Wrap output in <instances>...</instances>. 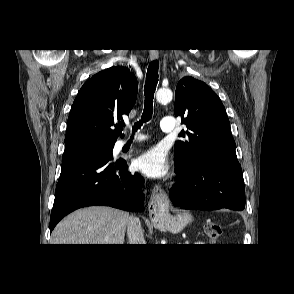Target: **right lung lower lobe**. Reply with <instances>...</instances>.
I'll list each match as a JSON object with an SVG mask.
<instances>
[{"label": "right lung lower lobe", "instance_id": "obj_1", "mask_svg": "<svg viewBox=\"0 0 294 294\" xmlns=\"http://www.w3.org/2000/svg\"><path fill=\"white\" fill-rule=\"evenodd\" d=\"M102 153H87L62 159L50 217V232L70 212L86 206L105 205L142 211L143 179L127 171L124 160L110 162Z\"/></svg>", "mask_w": 294, "mask_h": 294}]
</instances>
